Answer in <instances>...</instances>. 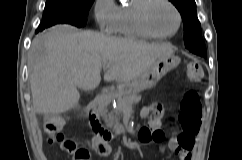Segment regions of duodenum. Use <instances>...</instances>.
Listing matches in <instances>:
<instances>
[{"instance_id": "duodenum-1", "label": "duodenum", "mask_w": 242, "mask_h": 160, "mask_svg": "<svg viewBox=\"0 0 242 160\" xmlns=\"http://www.w3.org/2000/svg\"><path fill=\"white\" fill-rule=\"evenodd\" d=\"M114 92L109 88L97 95L89 104L87 108V119L91 130L93 131V138L96 141H106L111 138V132L103 124L100 113L103 106L108 102L109 98Z\"/></svg>"}]
</instances>
